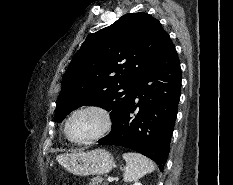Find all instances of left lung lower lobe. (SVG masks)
I'll return each instance as SVG.
<instances>
[{"label": "left lung lower lobe", "instance_id": "0a47b994", "mask_svg": "<svg viewBox=\"0 0 233 185\" xmlns=\"http://www.w3.org/2000/svg\"><path fill=\"white\" fill-rule=\"evenodd\" d=\"M181 79L179 58L169 39L138 80L134 98L120 120L99 143L133 149L155 161L163 172L181 95Z\"/></svg>", "mask_w": 233, "mask_h": 185}]
</instances>
